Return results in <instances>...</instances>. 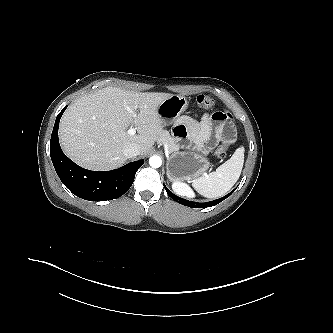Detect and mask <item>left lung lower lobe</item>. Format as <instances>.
Listing matches in <instances>:
<instances>
[{"label": "left lung lower lobe", "instance_id": "0a47b994", "mask_svg": "<svg viewBox=\"0 0 333 333\" xmlns=\"http://www.w3.org/2000/svg\"><path fill=\"white\" fill-rule=\"evenodd\" d=\"M164 187H165V190L167 191V194L173 200H175L176 202H178L182 205H185V206H188V207H193V208H207V207L214 206V205L220 203L221 201L225 200L227 197H229L235 191V189H234L232 192H230L226 196H224L222 198H219L217 200H213V201L205 202V203H198V202H193V201H189V200H185L183 198H180V197L174 195L173 193H171L165 185H164Z\"/></svg>", "mask_w": 333, "mask_h": 333}]
</instances>
